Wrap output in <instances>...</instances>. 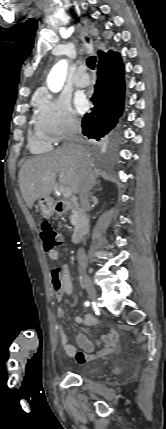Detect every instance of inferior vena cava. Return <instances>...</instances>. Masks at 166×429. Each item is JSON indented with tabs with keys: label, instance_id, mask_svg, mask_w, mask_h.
I'll use <instances>...</instances> for the list:
<instances>
[{
	"label": "inferior vena cava",
	"instance_id": "602c4592",
	"mask_svg": "<svg viewBox=\"0 0 166 429\" xmlns=\"http://www.w3.org/2000/svg\"><path fill=\"white\" fill-rule=\"evenodd\" d=\"M80 122L72 119L68 128V132L65 138V143L63 148L70 150L72 153L82 161L81 175H80V185H79V197L80 203L83 207L88 205L89 190L93 182V172L91 166L87 163L84 148L81 145L82 138ZM77 258L79 261H85L86 256L83 249H79L77 253Z\"/></svg>",
	"mask_w": 166,
	"mask_h": 429
}]
</instances>
